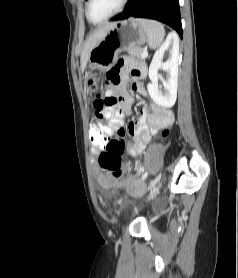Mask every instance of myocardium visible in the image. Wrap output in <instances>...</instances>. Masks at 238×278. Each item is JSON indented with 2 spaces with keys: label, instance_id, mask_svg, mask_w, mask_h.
Wrapping results in <instances>:
<instances>
[{
  "label": "myocardium",
  "instance_id": "1",
  "mask_svg": "<svg viewBox=\"0 0 238 278\" xmlns=\"http://www.w3.org/2000/svg\"><path fill=\"white\" fill-rule=\"evenodd\" d=\"M91 1H92V0H87V2H86L85 14H86L87 19H88L91 23H93V24H101V23H103V22H105V21H107V20L113 18L114 16H116L118 13H120V12L124 9L125 5H126L127 2H128V0H121L119 6L117 7V9H116L115 11H113V12H112L111 14H109L107 17H105V18H103V19H101V20L96 21V20H93V19L91 18V16H90L89 9H90Z\"/></svg>",
  "mask_w": 238,
  "mask_h": 278
}]
</instances>
